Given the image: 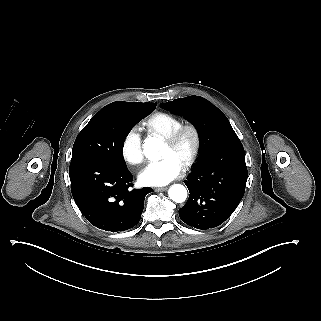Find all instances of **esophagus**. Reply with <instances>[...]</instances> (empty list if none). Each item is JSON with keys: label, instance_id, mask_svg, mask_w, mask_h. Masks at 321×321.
<instances>
[{"label": "esophagus", "instance_id": "esophagus-1", "mask_svg": "<svg viewBox=\"0 0 321 321\" xmlns=\"http://www.w3.org/2000/svg\"><path fill=\"white\" fill-rule=\"evenodd\" d=\"M167 190V187H159V188H155V192H162Z\"/></svg>", "mask_w": 321, "mask_h": 321}]
</instances>
